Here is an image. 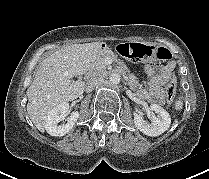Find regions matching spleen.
Returning a JSON list of instances; mask_svg holds the SVG:
<instances>
[{
    "label": "spleen",
    "mask_w": 209,
    "mask_h": 179,
    "mask_svg": "<svg viewBox=\"0 0 209 179\" xmlns=\"http://www.w3.org/2000/svg\"><path fill=\"white\" fill-rule=\"evenodd\" d=\"M174 108L177 111H180L183 109V96L182 95H180L178 99L174 102Z\"/></svg>",
    "instance_id": "spleen-1"
}]
</instances>
